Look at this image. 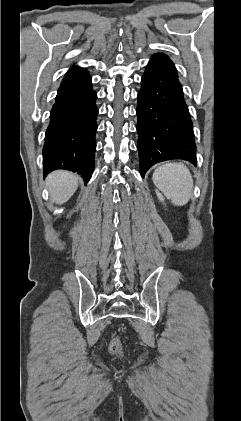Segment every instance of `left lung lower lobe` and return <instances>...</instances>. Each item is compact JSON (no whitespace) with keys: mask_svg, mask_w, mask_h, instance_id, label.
Returning <instances> with one entry per match:
<instances>
[{"mask_svg":"<svg viewBox=\"0 0 241 421\" xmlns=\"http://www.w3.org/2000/svg\"><path fill=\"white\" fill-rule=\"evenodd\" d=\"M141 84L136 113L142 177L161 161L196 164L192 121L173 62L162 53L153 55Z\"/></svg>","mask_w":241,"mask_h":421,"instance_id":"1","label":"left lung lower lobe"}]
</instances>
